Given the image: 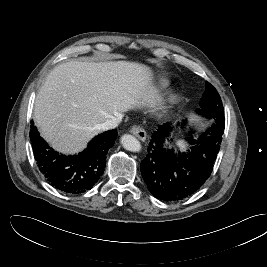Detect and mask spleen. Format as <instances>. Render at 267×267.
I'll return each mask as SVG.
<instances>
[{"label": "spleen", "instance_id": "obj_1", "mask_svg": "<svg viewBox=\"0 0 267 267\" xmlns=\"http://www.w3.org/2000/svg\"><path fill=\"white\" fill-rule=\"evenodd\" d=\"M177 144L179 145V147L181 149H185V145H184V142L182 140L178 141Z\"/></svg>", "mask_w": 267, "mask_h": 267}]
</instances>
